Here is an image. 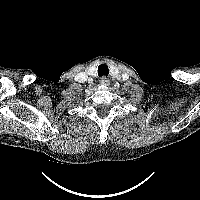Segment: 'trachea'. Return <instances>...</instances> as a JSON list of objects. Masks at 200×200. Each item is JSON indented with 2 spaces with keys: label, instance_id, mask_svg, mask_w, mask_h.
I'll return each instance as SVG.
<instances>
[{
  "label": "trachea",
  "instance_id": "trachea-1",
  "mask_svg": "<svg viewBox=\"0 0 200 200\" xmlns=\"http://www.w3.org/2000/svg\"><path fill=\"white\" fill-rule=\"evenodd\" d=\"M109 74V69L106 64H101L98 67V75L99 76H107Z\"/></svg>",
  "mask_w": 200,
  "mask_h": 200
}]
</instances>
